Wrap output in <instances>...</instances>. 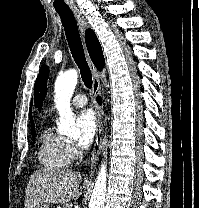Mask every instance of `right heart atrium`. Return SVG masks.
<instances>
[{"instance_id":"1","label":"right heart atrium","mask_w":199,"mask_h":208,"mask_svg":"<svg viewBox=\"0 0 199 208\" xmlns=\"http://www.w3.org/2000/svg\"><path fill=\"white\" fill-rule=\"evenodd\" d=\"M68 152L70 155V159H74L78 154L77 149L74 145H68Z\"/></svg>"}]
</instances>
